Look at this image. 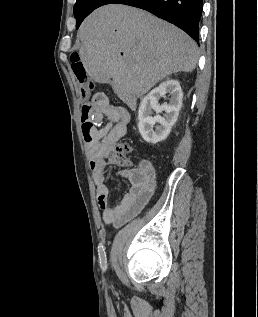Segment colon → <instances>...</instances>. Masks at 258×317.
Listing matches in <instances>:
<instances>
[{
    "instance_id": "5ec220e1",
    "label": "colon",
    "mask_w": 258,
    "mask_h": 317,
    "mask_svg": "<svg viewBox=\"0 0 258 317\" xmlns=\"http://www.w3.org/2000/svg\"><path fill=\"white\" fill-rule=\"evenodd\" d=\"M71 68L79 83L80 94L84 100H88L91 96L93 83L89 80L85 66L78 53H73L70 57ZM84 105L89 107V103ZM82 132L87 144L95 143L99 138L100 130L97 128L98 119L88 111L81 120ZM132 151V146L127 142H119L114 146L112 152V161L121 166L130 164L129 154Z\"/></svg>"
}]
</instances>
